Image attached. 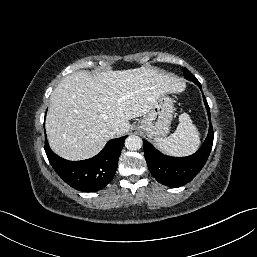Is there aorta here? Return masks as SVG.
Wrapping results in <instances>:
<instances>
[{"label": "aorta", "instance_id": "1", "mask_svg": "<svg viewBox=\"0 0 257 257\" xmlns=\"http://www.w3.org/2000/svg\"><path fill=\"white\" fill-rule=\"evenodd\" d=\"M142 144V139L135 135H131L125 140V147L131 151L139 150L142 147Z\"/></svg>", "mask_w": 257, "mask_h": 257}]
</instances>
